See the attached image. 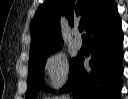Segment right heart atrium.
I'll use <instances>...</instances> for the list:
<instances>
[{"label":"right heart atrium","instance_id":"obj_1","mask_svg":"<svg viewBox=\"0 0 128 99\" xmlns=\"http://www.w3.org/2000/svg\"><path fill=\"white\" fill-rule=\"evenodd\" d=\"M45 69L54 88H61L68 81L69 62L64 53L51 54L46 60Z\"/></svg>","mask_w":128,"mask_h":99}]
</instances>
